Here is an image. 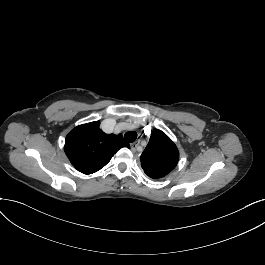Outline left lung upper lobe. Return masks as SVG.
Returning a JSON list of instances; mask_svg holds the SVG:
<instances>
[{
  "mask_svg": "<svg viewBox=\"0 0 265 265\" xmlns=\"http://www.w3.org/2000/svg\"><path fill=\"white\" fill-rule=\"evenodd\" d=\"M179 160V151L173 141L161 130H154L148 145L140 156L146 175L159 179L171 172Z\"/></svg>",
  "mask_w": 265,
  "mask_h": 265,
  "instance_id": "left-lung-upper-lobe-1",
  "label": "left lung upper lobe"
}]
</instances>
